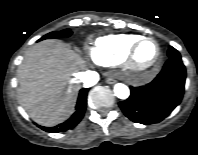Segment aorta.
<instances>
[{"label": "aorta", "mask_w": 198, "mask_h": 155, "mask_svg": "<svg viewBox=\"0 0 198 155\" xmlns=\"http://www.w3.org/2000/svg\"><path fill=\"white\" fill-rule=\"evenodd\" d=\"M114 94L119 99H127L130 95L129 88L123 83H117L114 86Z\"/></svg>", "instance_id": "762f6f07"}]
</instances>
